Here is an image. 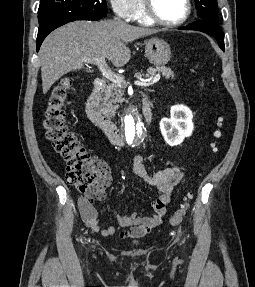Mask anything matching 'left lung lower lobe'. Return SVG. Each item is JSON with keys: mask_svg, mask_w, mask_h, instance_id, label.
I'll use <instances>...</instances> for the list:
<instances>
[{"mask_svg": "<svg viewBox=\"0 0 255 287\" xmlns=\"http://www.w3.org/2000/svg\"><path fill=\"white\" fill-rule=\"evenodd\" d=\"M218 23L219 22L212 20H199L179 29L205 32L213 36L218 41L219 46L224 50V33Z\"/></svg>", "mask_w": 255, "mask_h": 287, "instance_id": "1", "label": "left lung lower lobe"}]
</instances>
